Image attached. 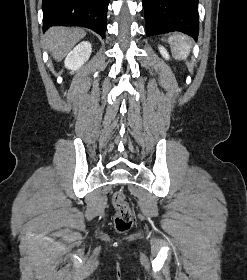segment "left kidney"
Here are the masks:
<instances>
[{"mask_svg": "<svg viewBox=\"0 0 247 280\" xmlns=\"http://www.w3.org/2000/svg\"><path fill=\"white\" fill-rule=\"evenodd\" d=\"M159 51L163 58H165L166 60H169V58H170L169 54L163 46H159Z\"/></svg>", "mask_w": 247, "mask_h": 280, "instance_id": "1", "label": "left kidney"}]
</instances>
